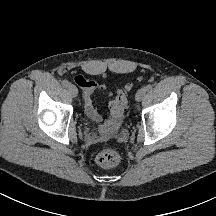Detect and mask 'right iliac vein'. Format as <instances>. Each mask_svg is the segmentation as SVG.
Masks as SVG:
<instances>
[{
    "label": "right iliac vein",
    "mask_w": 216,
    "mask_h": 216,
    "mask_svg": "<svg viewBox=\"0 0 216 216\" xmlns=\"http://www.w3.org/2000/svg\"><path fill=\"white\" fill-rule=\"evenodd\" d=\"M68 91L73 97H76L78 95V89L72 84L69 85Z\"/></svg>",
    "instance_id": "1"
}]
</instances>
